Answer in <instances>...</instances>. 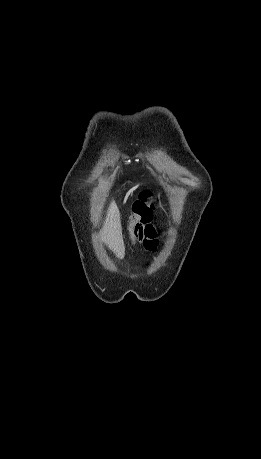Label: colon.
Wrapping results in <instances>:
<instances>
[{
	"label": "colon",
	"instance_id": "obj_1",
	"mask_svg": "<svg viewBox=\"0 0 261 459\" xmlns=\"http://www.w3.org/2000/svg\"><path fill=\"white\" fill-rule=\"evenodd\" d=\"M156 203V199L149 191H144L133 204V215L127 219L128 226L123 228V235L128 236L129 240L133 239L134 234H138L140 238L156 237L158 232L149 218L152 208ZM129 246L133 245L132 241L128 242Z\"/></svg>",
	"mask_w": 261,
	"mask_h": 459
}]
</instances>
